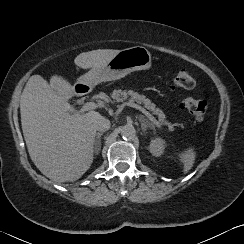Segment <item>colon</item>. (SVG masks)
<instances>
[{
    "instance_id": "colon-1",
    "label": "colon",
    "mask_w": 244,
    "mask_h": 244,
    "mask_svg": "<svg viewBox=\"0 0 244 244\" xmlns=\"http://www.w3.org/2000/svg\"><path fill=\"white\" fill-rule=\"evenodd\" d=\"M195 79L187 70L179 71L173 79V88L190 90L195 86ZM182 106L198 121L204 120L209 112L210 104L205 100H197L190 95H183Z\"/></svg>"
}]
</instances>
